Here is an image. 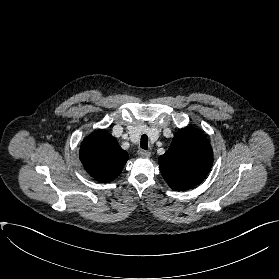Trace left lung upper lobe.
I'll list each match as a JSON object with an SVG mask.
<instances>
[{
    "instance_id": "obj_1",
    "label": "left lung upper lobe",
    "mask_w": 279,
    "mask_h": 279,
    "mask_svg": "<svg viewBox=\"0 0 279 279\" xmlns=\"http://www.w3.org/2000/svg\"><path fill=\"white\" fill-rule=\"evenodd\" d=\"M158 162L170 188L184 191L204 180L213 164V151L198 129L187 127L178 131Z\"/></svg>"
}]
</instances>
